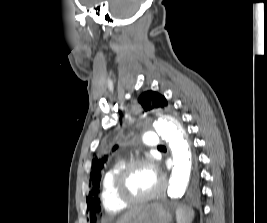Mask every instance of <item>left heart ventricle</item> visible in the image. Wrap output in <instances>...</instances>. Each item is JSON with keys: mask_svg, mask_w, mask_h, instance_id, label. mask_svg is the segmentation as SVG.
I'll return each instance as SVG.
<instances>
[{"mask_svg": "<svg viewBox=\"0 0 267 223\" xmlns=\"http://www.w3.org/2000/svg\"><path fill=\"white\" fill-rule=\"evenodd\" d=\"M158 185V177L146 166L134 168L128 175L124 189L130 197H140L152 192Z\"/></svg>", "mask_w": 267, "mask_h": 223, "instance_id": "b2bd125f", "label": "left heart ventricle"}]
</instances>
